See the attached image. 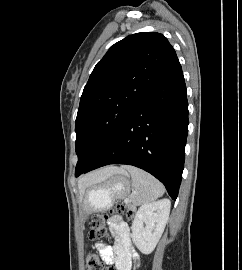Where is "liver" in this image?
Instances as JSON below:
<instances>
[{
    "mask_svg": "<svg viewBox=\"0 0 242 270\" xmlns=\"http://www.w3.org/2000/svg\"><path fill=\"white\" fill-rule=\"evenodd\" d=\"M120 168L117 167H107L93 173H90L84 177H82L78 181V187L80 191V195H83L85 189L93 184L102 182L113 175L115 172L119 171Z\"/></svg>",
    "mask_w": 242,
    "mask_h": 270,
    "instance_id": "1",
    "label": "liver"
}]
</instances>
